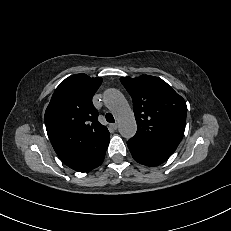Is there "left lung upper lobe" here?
I'll return each instance as SVG.
<instances>
[{"mask_svg":"<svg viewBox=\"0 0 231 231\" xmlns=\"http://www.w3.org/2000/svg\"><path fill=\"white\" fill-rule=\"evenodd\" d=\"M120 81L133 101L137 132L132 139L173 153L184 134L187 114L184 99L158 77H122Z\"/></svg>","mask_w":231,"mask_h":231,"instance_id":"left-lung-upper-lobe-1","label":"left lung upper lobe"}]
</instances>
